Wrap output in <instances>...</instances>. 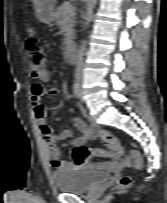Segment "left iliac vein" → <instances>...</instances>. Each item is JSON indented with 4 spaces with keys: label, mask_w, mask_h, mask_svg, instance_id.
Listing matches in <instances>:
<instances>
[{
    "label": "left iliac vein",
    "mask_w": 167,
    "mask_h": 203,
    "mask_svg": "<svg viewBox=\"0 0 167 203\" xmlns=\"http://www.w3.org/2000/svg\"><path fill=\"white\" fill-rule=\"evenodd\" d=\"M79 90H80V97H81V100L83 101V99H82V97H83V91H82L81 88H80Z\"/></svg>",
    "instance_id": "1"
}]
</instances>
